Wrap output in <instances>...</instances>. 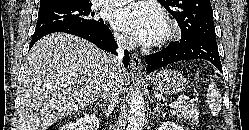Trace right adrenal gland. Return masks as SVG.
I'll return each mask as SVG.
<instances>
[{
  "instance_id": "obj_1",
  "label": "right adrenal gland",
  "mask_w": 249,
  "mask_h": 130,
  "mask_svg": "<svg viewBox=\"0 0 249 130\" xmlns=\"http://www.w3.org/2000/svg\"><path fill=\"white\" fill-rule=\"evenodd\" d=\"M95 105H98L100 107V109L102 110V113H104L105 116H108L109 113L111 112V109H112L111 105H108V109L106 108V104L96 103Z\"/></svg>"
}]
</instances>
